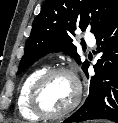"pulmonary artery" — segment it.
Listing matches in <instances>:
<instances>
[{
  "label": "pulmonary artery",
  "instance_id": "1",
  "mask_svg": "<svg viewBox=\"0 0 118 123\" xmlns=\"http://www.w3.org/2000/svg\"><path fill=\"white\" fill-rule=\"evenodd\" d=\"M86 41L90 46H94L95 45V39L92 35L87 34L86 35Z\"/></svg>",
  "mask_w": 118,
  "mask_h": 123
}]
</instances>
